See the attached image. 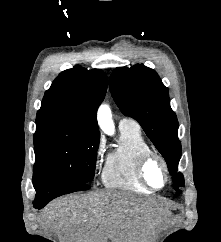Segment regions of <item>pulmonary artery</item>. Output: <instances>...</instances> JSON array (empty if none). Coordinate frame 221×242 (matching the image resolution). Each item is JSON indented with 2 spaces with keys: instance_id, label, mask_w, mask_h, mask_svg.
Segmentation results:
<instances>
[{
  "instance_id": "1",
  "label": "pulmonary artery",
  "mask_w": 221,
  "mask_h": 242,
  "mask_svg": "<svg viewBox=\"0 0 221 242\" xmlns=\"http://www.w3.org/2000/svg\"><path fill=\"white\" fill-rule=\"evenodd\" d=\"M133 127L139 129V125L132 119L122 118L119 122V128Z\"/></svg>"
}]
</instances>
